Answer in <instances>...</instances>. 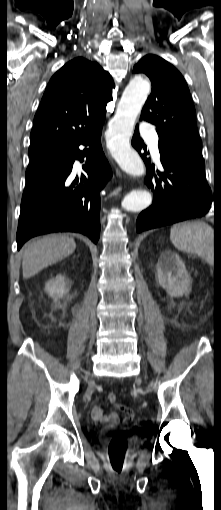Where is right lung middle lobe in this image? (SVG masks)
<instances>
[{"instance_id":"dd1d6c3e","label":"right lung middle lobe","mask_w":221,"mask_h":510,"mask_svg":"<svg viewBox=\"0 0 221 510\" xmlns=\"http://www.w3.org/2000/svg\"><path fill=\"white\" fill-rule=\"evenodd\" d=\"M58 150H41V151H35V152H29L30 161H35L40 158H43L45 156L52 155L56 153Z\"/></svg>"}]
</instances>
